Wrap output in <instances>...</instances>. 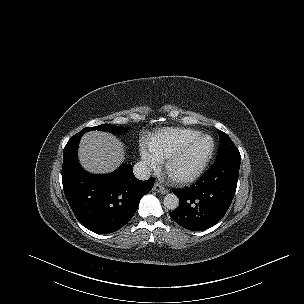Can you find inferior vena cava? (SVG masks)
<instances>
[{
    "label": "inferior vena cava",
    "mask_w": 304,
    "mask_h": 304,
    "mask_svg": "<svg viewBox=\"0 0 304 304\" xmlns=\"http://www.w3.org/2000/svg\"><path fill=\"white\" fill-rule=\"evenodd\" d=\"M133 172L139 180H147L151 176V169L144 162H137L133 167Z\"/></svg>",
    "instance_id": "1"
}]
</instances>
